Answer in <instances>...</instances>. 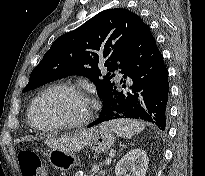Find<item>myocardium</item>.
<instances>
[{"mask_svg":"<svg viewBox=\"0 0 205 176\" xmlns=\"http://www.w3.org/2000/svg\"><path fill=\"white\" fill-rule=\"evenodd\" d=\"M54 91H68L70 93L75 94L78 96L82 102L84 103L85 106V111L84 114L81 118H79L76 121L72 122H62V123H57V124H51V125H46L42 126L39 125L35 119H34V112L37 106V103L45 97L47 94L54 92ZM92 117V102L89 98V96L77 85L72 84V83H58L51 85L41 91L32 101V104L29 108L28 111V120L32 127H34L36 130L39 131H53V130H59V129H79L85 126L86 124L89 123Z\"/></svg>","mask_w":205,"mask_h":176,"instance_id":"myocardium-1","label":"myocardium"}]
</instances>
